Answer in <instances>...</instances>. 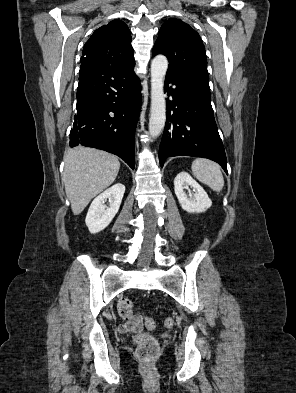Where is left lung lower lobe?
Here are the masks:
<instances>
[{
    "mask_svg": "<svg viewBox=\"0 0 296 393\" xmlns=\"http://www.w3.org/2000/svg\"><path fill=\"white\" fill-rule=\"evenodd\" d=\"M175 85L169 87V84ZM167 118L159 148L161 167L167 157L195 156L219 163L227 173L225 150L211 106L209 81L166 75Z\"/></svg>",
    "mask_w": 296,
    "mask_h": 393,
    "instance_id": "0a47b994",
    "label": "left lung lower lobe"
}]
</instances>
